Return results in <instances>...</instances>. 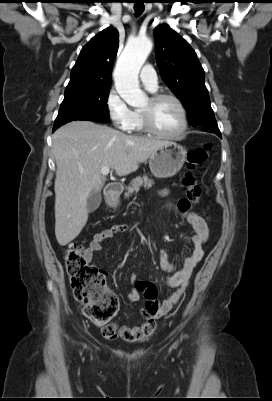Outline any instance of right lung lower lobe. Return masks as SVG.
Masks as SVG:
<instances>
[{"label":"right lung lower lobe","instance_id":"1","mask_svg":"<svg viewBox=\"0 0 272 401\" xmlns=\"http://www.w3.org/2000/svg\"><path fill=\"white\" fill-rule=\"evenodd\" d=\"M58 127H53V132L57 129Z\"/></svg>","mask_w":272,"mask_h":401}]
</instances>
